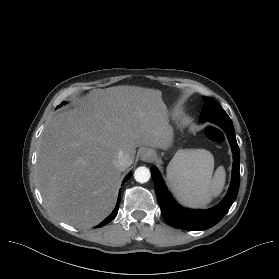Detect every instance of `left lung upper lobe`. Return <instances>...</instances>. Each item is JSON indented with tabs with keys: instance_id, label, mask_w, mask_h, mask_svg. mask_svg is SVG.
<instances>
[{
	"instance_id": "5c2ea615",
	"label": "left lung upper lobe",
	"mask_w": 279,
	"mask_h": 279,
	"mask_svg": "<svg viewBox=\"0 0 279 279\" xmlns=\"http://www.w3.org/2000/svg\"><path fill=\"white\" fill-rule=\"evenodd\" d=\"M205 103L201 112L200 121L230 120L228 114L213 99L204 97Z\"/></svg>"
}]
</instances>
